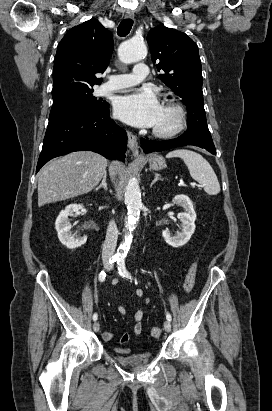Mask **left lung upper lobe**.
I'll use <instances>...</instances> for the list:
<instances>
[{
	"mask_svg": "<svg viewBox=\"0 0 272 411\" xmlns=\"http://www.w3.org/2000/svg\"><path fill=\"white\" fill-rule=\"evenodd\" d=\"M151 58L157 64L158 77L187 107L188 128L207 126L203 107L202 70L197 44L185 33L165 26L151 29L147 35Z\"/></svg>",
	"mask_w": 272,
	"mask_h": 411,
	"instance_id": "1",
	"label": "left lung upper lobe"
}]
</instances>
